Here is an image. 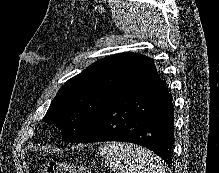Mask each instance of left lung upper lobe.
<instances>
[{"label":"left lung upper lobe","instance_id":"obj_1","mask_svg":"<svg viewBox=\"0 0 219 173\" xmlns=\"http://www.w3.org/2000/svg\"><path fill=\"white\" fill-rule=\"evenodd\" d=\"M149 58L137 53L105 57L69 79L58 91L43 118L57 126L67 142H74L140 75Z\"/></svg>","mask_w":219,"mask_h":173}]
</instances>
